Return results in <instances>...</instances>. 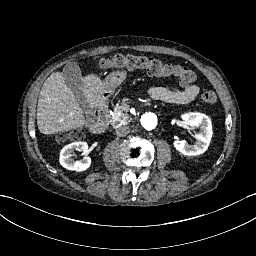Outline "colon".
<instances>
[{
	"label": "colon",
	"mask_w": 256,
	"mask_h": 256,
	"mask_svg": "<svg viewBox=\"0 0 256 256\" xmlns=\"http://www.w3.org/2000/svg\"><path fill=\"white\" fill-rule=\"evenodd\" d=\"M104 70L120 71V70H146L150 76L167 78L176 76L182 84L190 85L197 79L196 73L188 68L173 66L159 59L138 56L131 54H118L109 59H104L101 63ZM203 102L213 104L217 101V97L212 91H204L201 94ZM84 135L82 129H73L68 132L67 138L71 140H80Z\"/></svg>",
	"instance_id": "obj_1"
}]
</instances>
